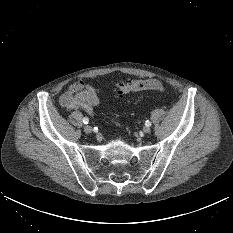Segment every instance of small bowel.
I'll return each instance as SVG.
<instances>
[{
  "label": "small bowel",
  "mask_w": 233,
  "mask_h": 233,
  "mask_svg": "<svg viewBox=\"0 0 233 233\" xmlns=\"http://www.w3.org/2000/svg\"><path fill=\"white\" fill-rule=\"evenodd\" d=\"M101 90L83 80L74 81L60 98V105L67 111L82 109L94 115L95 107L100 105Z\"/></svg>",
  "instance_id": "small-bowel-1"
}]
</instances>
